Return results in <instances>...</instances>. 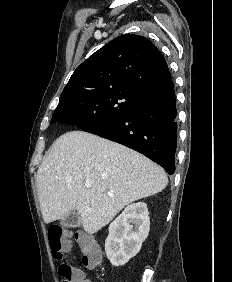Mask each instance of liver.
<instances>
[{
    "mask_svg": "<svg viewBox=\"0 0 232 282\" xmlns=\"http://www.w3.org/2000/svg\"><path fill=\"white\" fill-rule=\"evenodd\" d=\"M167 183L165 171L147 157L80 130L57 138L37 172L44 222L76 210L90 234L129 203L161 192Z\"/></svg>",
    "mask_w": 232,
    "mask_h": 282,
    "instance_id": "obj_1",
    "label": "liver"
}]
</instances>
